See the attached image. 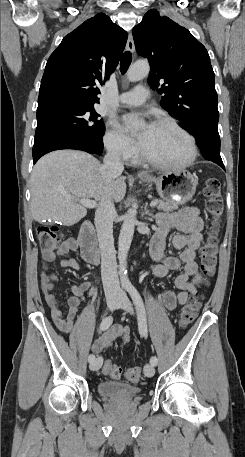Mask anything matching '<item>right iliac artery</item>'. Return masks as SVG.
I'll return each mask as SVG.
<instances>
[{"label":"right iliac artery","mask_w":245,"mask_h":457,"mask_svg":"<svg viewBox=\"0 0 245 457\" xmlns=\"http://www.w3.org/2000/svg\"><path fill=\"white\" fill-rule=\"evenodd\" d=\"M112 322H113V317L111 315L105 317L100 324V330L104 331V330L108 329L110 327V325L112 324ZM94 360H95V355L90 354L88 357V361L91 363Z\"/></svg>","instance_id":"1"}]
</instances>
